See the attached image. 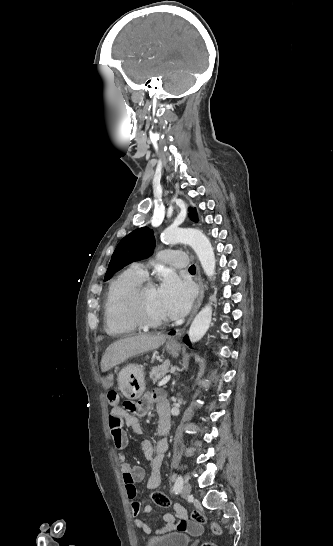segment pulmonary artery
<instances>
[{
    "instance_id": "obj_1",
    "label": "pulmonary artery",
    "mask_w": 333,
    "mask_h": 546,
    "mask_svg": "<svg viewBox=\"0 0 333 546\" xmlns=\"http://www.w3.org/2000/svg\"><path fill=\"white\" fill-rule=\"evenodd\" d=\"M160 257L169 265L176 268H185L187 266V257L181 251L164 250L160 252ZM144 277L147 276V270L143 263L134 265Z\"/></svg>"
}]
</instances>
